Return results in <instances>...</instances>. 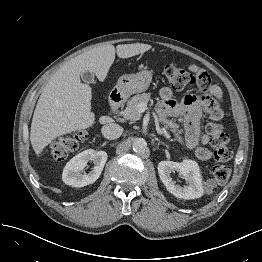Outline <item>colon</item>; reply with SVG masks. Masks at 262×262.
<instances>
[{"instance_id": "5ec220e1", "label": "colon", "mask_w": 262, "mask_h": 262, "mask_svg": "<svg viewBox=\"0 0 262 262\" xmlns=\"http://www.w3.org/2000/svg\"><path fill=\"white\" fill-rule=\"evenodd\" d=\"M207 73L202 70L199 75L191 74L177 65L168 64L165 66V79L175 90H182L194 84L200 77H206ZM210 136L214 155L218 164L213 167L212 173L218 183L226 182L231 174V167L226 164L232 156L233 151L228 146V136L222 126L218 123H211L207 127ZM78 135L69 136L58 140L48 151L49 156L57 161L64 160L69 153L78 147Z\"/></svg>"}]
</instances>
